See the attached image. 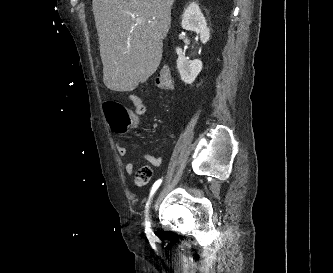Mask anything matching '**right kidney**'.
I'll return each instance as SVG.
<instances>
[{
	"mask_svg": "<svg viewBox=\"0 0 333 273\" xmlns=\"http://www.w3.org/2000/svg\"><path fill=\"white\" fill-rule=\"evenodd\" d=\"M181 25L183 29L194 31L199 34L200 40L204 44L210 38V32L206 20L201 13L198 4L195 2L190 3L185 9L182 15ZM176 53L178 55L177 69L180 73L181 80L186 84H192L202 70V62L198 59L189 60L185 57L182 49L179 47L176 48Z\"/></svg>",
	"mask_w": 333,
	"mask_h": 273,
	"instance_id": "right-kidney-1",
	"label": "right kidney"
}]
</instances>
